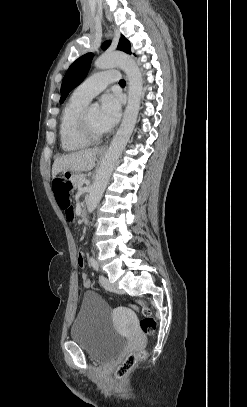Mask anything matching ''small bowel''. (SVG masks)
<instances>
[{"mask_svg":"<svg viewBox=\"0 0 247 407\" xmlns=\"http://www.w3.org/2000/svg\"><path fill=\"white\" fill-rule=\"evenodd\" d=\"M65 214V218L66 220L70 223V224H74L75 223V211L74 208L71 207L68 211L64 212ZM77 264L79 267H83L84 266V258L83 256L80 254L77 257ZM82 281H83V286L88 288L91 286V280L85 275L82 274Z\"/></svg>","mask_w":247,"mask_h":407,"instance_id":"c3829d8e","label":"small bowel"}]
</instances>
